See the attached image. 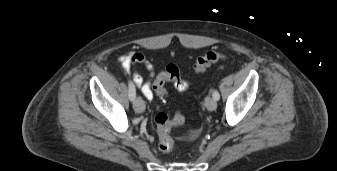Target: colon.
<instances>
[{
  "label": "colon",
  "instance_id": "colon-1",
  "mask_svg": "<svg viewBox=\"0 0 337 171\" xmlns=\"http://www.w3.org/2000/svg\"><path fill=\"white\" fill-rule=\"evenodd\" d=\"M225 58L226 55L224 53L213 50L207 51L197 58L194 70L196 73L203 72L212 64ZM167 82H172L179 91H185L191 86V82L181 77L178 67L174 64L167 65L165 71L157 77L153 86L157 95L164 96L166 94L165 84ZM154 122L158 135L159 150L165 154L170 153L174 144L171 130L184 122V116L177 112L172 117H169L167 114L160 112L155 115Z\"/></svg>",
  "mask_w": 337,
  "mask_h": 171
}]
</instances>
